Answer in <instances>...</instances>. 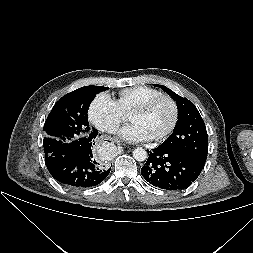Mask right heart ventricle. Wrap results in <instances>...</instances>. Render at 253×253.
<instances>
[{
    "label": "right heart ventricle",
    "instance_id": "1",
    "mask_svg": "<svg viewBox=\"0 0 253 253\" xmlns=\"http://www.w3.org/2000/svg\"><path fill=\"white\" fill-rule=\"evenodd\" d=\"M160 94L162 93L156 88L146 85H138L119 91L116 102L121 111L125 115H128L145 101Z\"/></svg>",
    "mask_w": 253,
    "mask_h": 253
}]
</instances>
